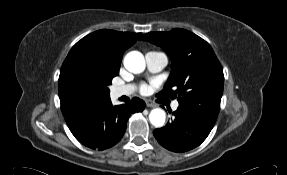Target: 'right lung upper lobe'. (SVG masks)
Segmentation results:
<instances>
[{
	"instance_id": "1",
	"label": "right lung upper lobe",
	"mask_w": 287,
	"mask_h": 175,
	"mask_svg": "<svg viewBox=\"0 0 287 175\" xmlns=\"http://www.w3.org/2000/svg\"><path fill=\"white\" fill-rule=\"evenodd\" d=\"M141 35V33L103 29L85 36L72 47L67 55L61 67L59 84L74 59L80 54H86L99 72L110 77L117 76L124 51L131 47Z\"/></svg>"
}]
</instances>
